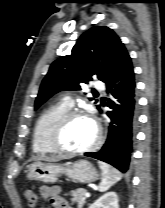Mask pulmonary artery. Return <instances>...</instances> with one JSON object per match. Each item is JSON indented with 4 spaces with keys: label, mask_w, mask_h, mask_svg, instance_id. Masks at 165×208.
<instances>
[{
    "label": "pulmonary artery",
    "mask_w": 165,
    "mask_h": 208,
    "mask_svg": "<svg viewBox=\"0 0 165 208\" xmlns=\"http://www.w3.org/2000/svg\"><path fill=\"white\" fill-rule=\"evenodd\" d=\"M94 87L97 90H104V84L102 82H95ZM64 103L69 107L73 105V101L70 98H66Z\"/></svg>",
    "instance_id": "obj_1"
}]
</instances>
